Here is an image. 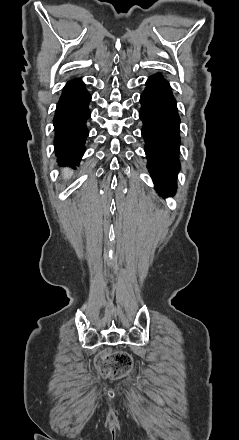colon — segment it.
<instances>
[{
  "instance_id": "obj_1",
  "label": "colon",
  "mask_w": 239,
  "mask_h": 440,
  "mask_svg": "<svg viewBox=\"0 0 239 440\" xmlns=\"http://www.w3.org/2000/svg\"><path fill=\"white\" fill-rule=\"evenodd\" d=\"M97 367L105 376L120 378L132 368V358L123 351L106 353L98 358Z\"/></svg>"
}]
</instances>
